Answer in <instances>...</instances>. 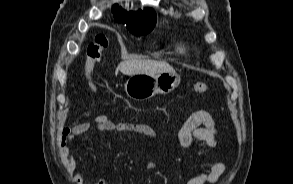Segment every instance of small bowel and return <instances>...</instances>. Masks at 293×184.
<instances>
[{
    "instance_id": "1",
    "label": "small bowel",
    "mask_w": 293,
    "mask_h": 184,
    "mask_svg": "<svg viewBox=\"0 0 293 184\" xmlns=\"http://www.w3.org/2000/svg\"><path fill=\"white\" fill-rule=\"evenodd\" d=\"M91 112H85L77 117L71 124L63 128L61 142L63 145V163L67 167L75 184H107L104 179L88 182L86 174L79 169L76 159L72 155L71 148L67 146L76 136L85 134L92 128L97 132L111 134L113 132L135 133L149 139H155L154 130L145 123L137 122H114L105 115H97L91 120ZM216 125L211 115L203 110L190 114L178 130V140L185 148H194L199 143L205 142L210 148L216 147ZM154 162L147 164V169H153ZM224 162L214 163L208 170L200 171L196 176L189 179L185 184H214L224 173Z\"/></svg>"
}]
</instances>
